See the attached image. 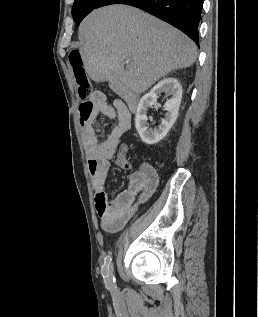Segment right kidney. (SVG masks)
<instances>
[{
  "mask_svg": "<svg viewBox=\"0 0 258 317\" xmlns=\"http://www.w3.org/2000/svg\"><path fill=\"white\" fill-rule=\"evenodd\" d=\"M163 90H165L168 96H171L164 104V110H167L165 118H162V122L158 128H149L147 122L148 106H152L154 102H157L158 94L159 92H163ZM181 98L182 86L177 78H173V76L163 78V80H160L158 84H155V86L151 88L150 92H147V94H144V96L140 98L136 110L135 126L144 142H147V144H156V142H159L161 138L166 136L178 116Z\"/></svg>",
  "mask_w": 258,
  "mask_h": 317,
  "instance_id": "1",
  "label": "right kidney"
}]
</instances>
